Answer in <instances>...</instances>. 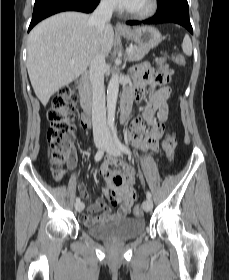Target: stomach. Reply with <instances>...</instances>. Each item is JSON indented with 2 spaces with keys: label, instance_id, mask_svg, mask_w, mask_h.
Wrapping results in <instances>:
<instances>
[{
  "label": "stomach",
  "instance_id": "stomach-1",
  "mask_svg": "<svg viewBox=\"0 0 229 280\" xmlns=\"http://www.w3.org/2000/svg\"><path fill=\"white\" fill-rule=\"evenodd\" d=\"M121 35L134 41L140 48L148 50L158 46L162 40L159 30L152 26L138 27L123 32Z\"/></svg>",
  "mask_w": 229,
  "mask_h": 280
}]
</instances>
